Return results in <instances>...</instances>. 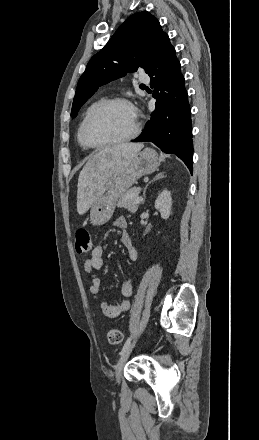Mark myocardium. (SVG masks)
Listing matches in <instances>:
<instances>
[{
	"label": "myocardium",
	"mask_w": 259,
	"mask_h": 440,
	"mask_svg": "<svg viewBox=\"0 0 259 440\" xmlns=\"http://www.w3.org/2000/svg\"><path fill=\"white\" fill-rule=\"evenodd\" d=\"M113 104H124V105L129 106L133 110L134 115H135V125H134L133 130L127 136L120 138V139H117V140L108 141V142H104V143L92 142L88 137V127H89L91 120L100 111H102L106 107L111 106ZM140 130H141V123L139 120L137 110L134 107V105L129 100H127L125 98L114 97V98H109V99H105V100L100 101L88 112V114L86 115V117L82 123V126H81V138H82L84 145L86 147H88L89 149H102L105 147L126 143V142L134 139L135 137H137L138 134L140 133Z\"/></svg>",
	"instance_id": "1"
}]
</instances>
